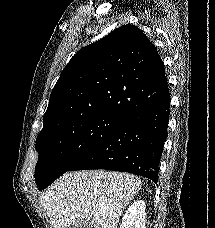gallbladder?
<instances>
[{"label": "gallbladder", "mask_w": 215, "mask_h": 228, "mask_svg": "<svg viewBox=\"0 0 215 228\" xmlns=\"http://www.w3.org/2000/svg\"><path fill=\"white\" fill-rule=\"evenodd\" d=\"M72 228H76V226H72Z\"/></svg>", "instance_id": "bac80fb5"}]
</instances>
